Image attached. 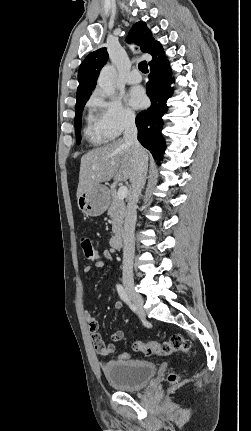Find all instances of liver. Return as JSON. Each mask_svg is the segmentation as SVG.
I'll use <instances>...</instances> for the list:
<instances>
[{
  "label": "liver",
  "mask_w": 251,
  "mask_h": 431,
  "mask_svg": "<svg viewBox=\"0 0 251 431\" xmlns=\"http://www.w3.org/2000/svg\"><path fill=\"white\" fill-rule=\"evenodd\" d=\"M148 161V154L144 150ZM135 174L134 151L124 139H117L96 148L81 158L77 198L95 185L114 178L116 182L130 180Z\"/></svg>",
  "instance_id": "obj_1"
}]
</instances>
